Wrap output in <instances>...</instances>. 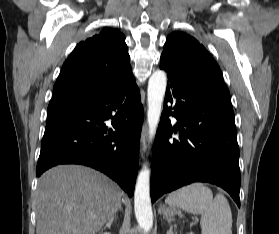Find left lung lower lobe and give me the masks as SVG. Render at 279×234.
Segmentation results:
<instances>
[{"instance_id": "0a47b994", "label": "left lung lower lobe", "mask_w": 279, "mask_h": 234, "mask_svg": "<svg viewBox=\"0 0 279 234\" xmlns=\"http://www.w3.org/2000/svg\"><path fill=\"white\" fill-rule=\"evenodd\" d=\"M160 68L169 83L152 156L151 201L200 181L222 187L240 207L239 147L227 86L164 56ZM169 116L177 119L173 127ZM173 132L179 136L171 138Z\"/></svg>"}]
</instances>
